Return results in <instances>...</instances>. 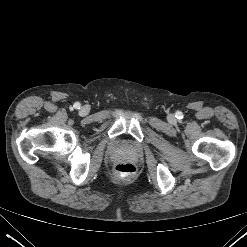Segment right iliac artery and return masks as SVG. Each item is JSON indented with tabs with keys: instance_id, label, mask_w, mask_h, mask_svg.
I'll return each instance as SVG.
<instances>
[{
	"instance_id": "82829eb1",
	"label": "right iliac artery",
	"mask_w": 247,
	"mask_h": 247,
	"mask_svg": "<svg viewBox=\"0 0 247 247\" xmlns=\"http://www.w3.org/2000/svg\"><path fill=\"white\" fill-rule=\"evenodd\" d=\"M74 108H75V109H80V103H78V102L75 103V104H74Z\"/></svg>"
}]
</instances>
